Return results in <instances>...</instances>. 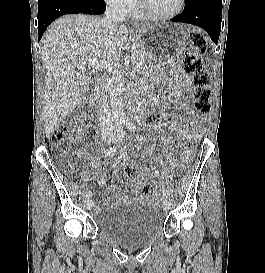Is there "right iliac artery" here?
Returning <instances> with one entry per match:
<instances>
[{
	"label": "right iliac artery",
	"instance_id": "82829eb1",
	"mask_svg": "<svg viewBox=\"0 0 265 273\" xmlns=\"http://www.w3.org/2000/svg\"><path fill=\"white\" fill-rule=\"evenodd\" d=\"M117 137H118L119 141L122 140V138H123V125H121V124L117 128ZM116 150H117L116 146L109 147L104 150V155L106 157H111L115 154ZM91 197H92V193L89 191L87 193V198L89 199Z\"/></svg>",
	"mask_w": 265,
	"mask_h": 273
}]
</instances>
